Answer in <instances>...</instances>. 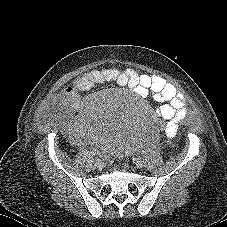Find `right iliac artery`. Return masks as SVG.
I'll return each mask as SVG.
<instances>
[{
  "label": "right iliac artery",
  "instance_id": "obj_1",
  "mask_svg": "<svg viewBox=\"0 0 227 227\" xmlns=\"http://www.w3.org/2000/svg\"><path fill=\"white\" fill-rule=\"evenodd\" d=\"M91 153H92L93 155H98V154H99V151L94 150V151H92Z\"/></svg>",
  "mask_w": 227,
  "mask_h": 227
}]
</instances>
